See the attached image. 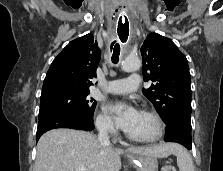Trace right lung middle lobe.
I'll return each mask as SVG.
<instances>
[{
    "label": "right lung middle lobe",
    "instance_id": "1",
    "mask_svg": "<svg viewBox=\"0 0 223 171\" xmlns=\"http://www.w3.org/2000/svg\"><path fill=\"white\" fill-rule=\"evenodd\" d=\"M88 95V91H73L43 97L40 100L39 119L52 113L73 112L93 120L96 101Z\"/></svg>",
    "mask_w": 223,
    "mask_h": 171
}]
</instances>
